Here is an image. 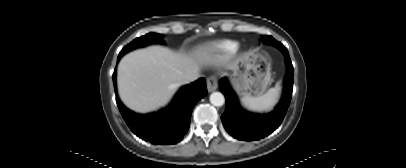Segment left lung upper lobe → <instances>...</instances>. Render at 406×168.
<instances>
[{
	"label": "left lung upper lobe",
	"instance_id": "5c2ea615",
	"mask_svg": "<svg viewBox=\"0 0 406 168\" xmlns=\"http://www.w3.org/2000/svg\"><path fill=\"white\" fill-rule=\"evenodd\" d=\"M263 44H271V45H275L278 48H280L281 50H285V46H283V44H281L280 42L276 41L273 37L271 36H262L261 38Z\"/></svg>",
	"mask_w": 406,
	"mask_h": 168
}]
</instances>
